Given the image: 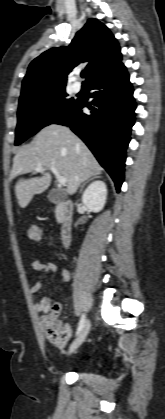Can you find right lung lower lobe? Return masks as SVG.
Instances as JSON below:
<instances>
[{"mask_svg":"<svg viewBox=\"0 0 165 419\" xmlns=\"http://www.w3.org/2000/svg\"><path fill=\"white\" fill-rule=\"evenodd\" d=\"M93 100L78 99L73 110L52 123L68 126L93 152L112 177L117 191L124 181L126 148L135 123L136 104L123 64L88 84ZM83 107L91 112L85 114Z\"/></svg>","mask_w":165,"mask_h":419,"instance_id":"obj_1","label":"right lung lower lobe"}]
</instances>
